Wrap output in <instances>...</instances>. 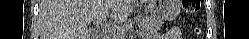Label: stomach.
<instances>
[{
  "label": "stomach",
  "mask_w": 249,
  "mask_h": 39,
  "mask_svg": "<svg viewBox=\"0 0 249 39\" xmlns=\"http://www.w3.org/2000/svg\"><path fill=\"white\" fill-rule=\"evenodd\" d=\"M180 0H151L148 11L155 18L172 20L180 12Z\"/></svg>",
  "instance_id": "obj_1"
}]
</instances>
